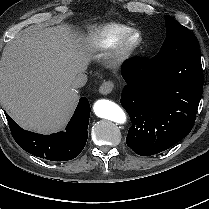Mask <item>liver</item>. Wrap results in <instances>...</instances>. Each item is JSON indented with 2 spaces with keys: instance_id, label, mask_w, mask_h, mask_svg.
<instances>
[{
  "instance_id": "1",
  "label": "liver",
  "mask_w": 209,
  "mask_h": 209,
  "mask_svg": "<svg viewBox=\"0 0 209 209\" xmlns=\"http://www.w3.org/2000/svg\"><path fill=\"white\" fill-rule=\"evenodd\" d=\"M90 55L66 24L30 26L7 43L0 60V102L23 128L56 132L65 127L79 99L74 78Z\"/></svg>"
}]
</instances>
